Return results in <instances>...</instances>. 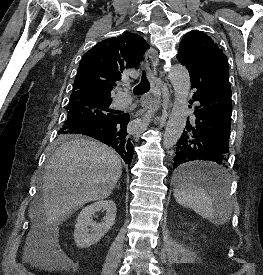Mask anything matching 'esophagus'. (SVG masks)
<instances>
[{
	"instance_id": "esophagus-1",
	"label": "esophagus",
	"mask_w": 263,
	"mask_h": 275,
	"mask_svg": "<svg viewBox=\"0 0 263 275\" xmlns=\"http://www.w3.org/2000/svg\"><path fill=\"white\" fill-rule=\"evenodd\" d=\"M146 66L151 83V98L148 102L147 111L140 122V127L134 133L135 140H138L141 133L147 128L151 117L157 111L160 102L164 97V92L166 91V87L160 78L158 52L152 47L146 52Z\"/></svg>"
}]
</instances>
